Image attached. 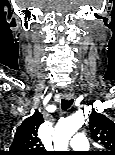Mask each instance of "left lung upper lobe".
Masks as SVG:
<instances>
[{"mask_svg": "<svg viewBox=\"0 0 115 155\" xmlns=\"http://www.w3.org/2000/svg\"><path fill=\"white\" fill-rule=\"evenodd\" d=\"M89 127L92 139L106 149V151L99 152L98 155H115V123L105 115L93 110Z\"/></svg>", "mask_w": 115, "mask_h": 155, "instance_id": "left-lung-upper-lobe-1", "label": "left lung upper lobe"}]
</instances>
